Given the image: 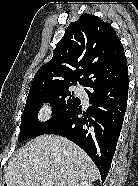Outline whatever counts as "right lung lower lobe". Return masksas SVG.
I'll return each mask as SVG.
<instances>
[{
    "instance_id": "1",
    "label": "right lung lower lobe",
    "mask_w": 138,
    "mask_h": 186,
    "mask_svg": "<svg viewBox=\"0 0 138 186\" xmlns=\"http://www.w3.org/2000/svg\"><path fill=\"white\" fill-rule=\"evenodd\" d=\"M129 80L88 85L91 107H76L46 133L56 134L80 146L99 169L104 182L121 132L127 106ZM82 115V116H81Z\"/></svg>"
}]
</instances>
